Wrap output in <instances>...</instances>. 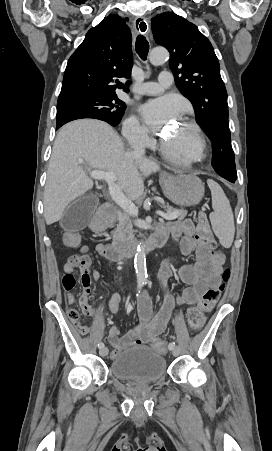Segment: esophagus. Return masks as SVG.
<instances>
[{
    "label": "esophagus",
    "instance_id": "obj_1",
    "mask_svg": "<svg viewBox=\"0 0 272 451\" xmlns=\"http://www.w3.org/2000/svg\"><path fill=\"white\" fill-rule=\"evenodd\" d=\"M139 19H136V25H137V21H138ZM140 33H145V31H144V28H141L140 27V25H139V27H138V29H137Z\"/></svg>",
    "mask_w": 272,
    "mask_h": 451
}]
</instances>
